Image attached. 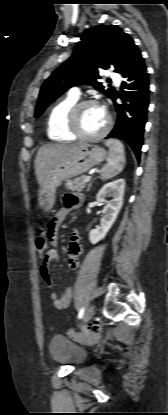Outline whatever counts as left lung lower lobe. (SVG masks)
<instances>
[{
	"instance_id": "1",
	"label": "left lung lower lobe",
	"mask_w": 168,
	"mask_h": 415,
	"mask_svg": "<svg viewBox=\"0 0 168 415\" xmlns=\"http://www.w3.org/2000/svg\"><path fill=\"white\" fill-rule=\"evenodd\" d=\"M121 75L124 78L121 91H116L111 98L117 112V122L106 139L126 141L139 160L149 106V78L141 53L134 57ZM117 98L122 100L121 104L116 103Z\"/></svg>"
}]
</instances>
